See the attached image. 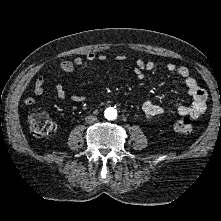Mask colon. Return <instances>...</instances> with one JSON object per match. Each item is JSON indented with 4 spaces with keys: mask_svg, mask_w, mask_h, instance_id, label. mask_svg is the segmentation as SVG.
Here are the masks:
<instances>
[{
    "mask_svg": "<svg viewBox=\"0 0 221 221\" xmlns=\"http://www.w3.org/2000/svg\"><path fill=\"white\" fill-rule=\"evenodd\" d=\"M31 132L38 137L49 136L54 133L56 124L44 112H34L28 116ZM192 129L189 118H182L174 123V130L178 133L187 134Z\"/></svg>",
    "mask_w": 221,
    "mask_h": 221,
    "instance_id": "1",
    "label": "colon"
}]
</instances>
